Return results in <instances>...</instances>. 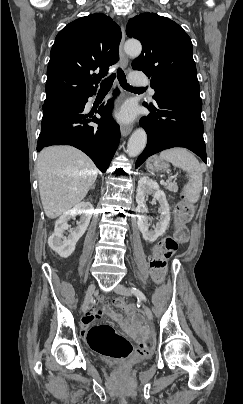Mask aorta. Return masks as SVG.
<instances>
[{
  "label": "aorta",
  "instance_id": "762f6f07",
  "mask_svg": "<svg viewBox=\"0 0 243 404\" xmlns=\"http://www.w3.org/2000/svg\"><path fill=\"white\" fill-rule=\"evenodd\" d=\"M124 52L130 58H137L142 52V46L138 40H127L124 44ZM147 144V134L143 128H138L130 136L127 144V154L129 158H136L143 152Z\"/></svg>",
  "mask_w": 243,
  "mask_h": 404
}]
</instances>
